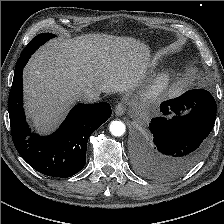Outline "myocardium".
I'll return each instance as SVG.
<instances>
[{
	"label": "myocardium",
	"instance_id": "myocardium-1",
	"mask_svg": "<svg viewBox=\"0 0 224 224\" xmlns=\"http://www.w3.org/2000/svg\"><path fill=\"white\" fill-rule=\"evenodd\" d=\"M173 80V73L171 71H163L154 76L149 82L145 90V96L148 99L159 97L165 92Z\"/></svg>",
	"mask_w": 224,
	"mask_h": 224
}]
</instances>
